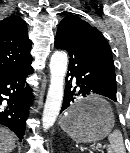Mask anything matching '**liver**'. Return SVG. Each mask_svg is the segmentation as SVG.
Wrapping results in <instances>:
<instances>
[{"mask_svg":"<svg viewBox=\"0 0 130 153\" xmlns=\"http://www.w3.org/2000/svg\"><path fill=\"white\" fill-rule=\"evenodd\" d=\"M15 148V135L0 126V153H11Z\"/></svg>","mask_w":130,"mask_h":153,"instance_id":"1","label":"liver"}]
</instances>
